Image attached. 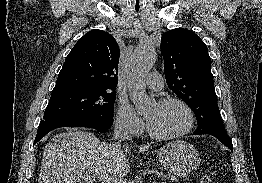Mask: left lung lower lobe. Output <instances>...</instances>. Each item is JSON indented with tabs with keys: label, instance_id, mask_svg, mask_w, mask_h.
I'll return each instance as SVG.
<instances>
[{
	"label": "left lung lower lobe",
	"instance_id": "0a47b994",
	"mask_svg": "<svg viewBox=\"0 0 262 183\" xmlns=\"http://www.w3.org/2000/svg\"><path fill=\"white\" fill-rule=\"evenodd\" d=\"M206 134L215 136L223 144H225L231 151H233L231 138L227 134H223V133H206ZM193 135H200V134H193Z\"/></svg>",
	"mask_w": 262,
	"mask_h": 183
}]
</instances>
